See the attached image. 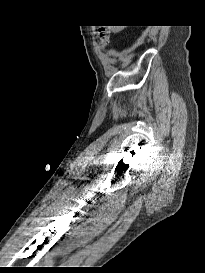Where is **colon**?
Segmentation results:
<instances>
[{"label":"colon","mask_w":205,"mask_h":273,"mask_svg":"<svg viewBox=\"0 0 205 273\" xmlns=\"http://www.w3.org/2000/svg\"><path fill=\"white\" fill-rule=\"evenodd\" d=\"M99 38L103 45L109 43L110 40V33L106 29H100Z\"/></svg>","instance_id":"1"}]
</instances>
